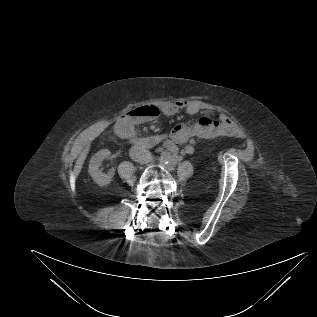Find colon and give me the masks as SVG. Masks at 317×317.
I'll return each mask as SVG.
<instances>
[{
	"instance_id": "obj_1",
	"label": "colon",
	"mask_w": 317,
	"mask_h": 317,
	"mask_svg": "<svg viewBox=\"0 0 317 317\" xmlns=\"http://www.w3.org/2000/svg\"><path fill=\"white\" fill-rule=\"evenodd\" d=\"M159 114V107L153 104L137 107L129 113L134 119L155 118Z\"/></svg>"
}]
</instances>
